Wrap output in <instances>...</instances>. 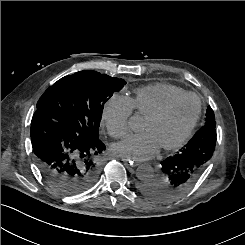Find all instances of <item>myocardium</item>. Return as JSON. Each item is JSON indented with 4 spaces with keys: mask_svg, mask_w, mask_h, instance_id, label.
Instances as JSON below:
<instances>
[{
    "mask_svg": "<svg viewBox=\"0 0 245 245\" xmlns=\"http://www.w3.org/2000/svg\"><path fill=\"white\" fill-rule=\"evenodd\" d=\"M188 97H193L197 100L198 107H197L196 115H195L192 123L190 124V126L187 128V130L184 132V134L176 142L161 147L164 151H172V150L179 149L188 141V139L192 135L194 129L196 128L198 121H199V118H200V115H201L202 104H201L200 98L194 93H185L183 95H180V96H177V97L170 99L169 101L164 103L161 107H159L156 111H154L153 113H151L150 115H148L145 118V121L158 120V119L162 118L175 104H177L178 102H180L183 99L188 98Z\"/></svg>",
    "mask_w": 245,
    "mask_h": 245,
    "instance_id": "1",
    "label": "myocardium"
}]
</instances>
